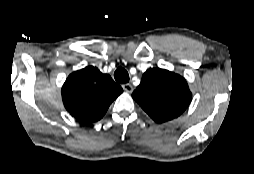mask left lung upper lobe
I'll return each mask as SVG.
<instances>
[{
	"label": "left lung upper lobe",
	"mask_w": 254,
	"mask_h": 174,
	"mask_svg": "<svg viewBox=\"0 0 254 174\" xmlns=\"http://www.w3.org/2000/svg\"><path fill=\"white\" fill-rule=\"evenodd\" d=\"M132 97L155 122L163 123L181 115L190 104L192 94L180 75L152 68L143 74Z\"/></svg>",
	"instance_id": "1"
}]
</instances>
